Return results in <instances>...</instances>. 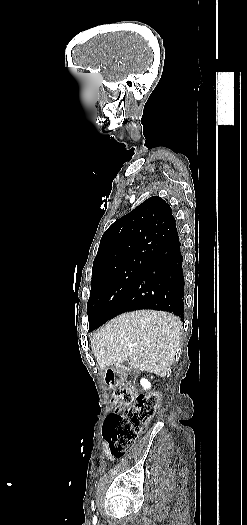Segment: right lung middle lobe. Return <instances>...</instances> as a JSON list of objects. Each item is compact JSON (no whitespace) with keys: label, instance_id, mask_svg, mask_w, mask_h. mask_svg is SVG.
I'll list each match as a JSON object with an SVG mask.
<instances>
[{"label":"right lung middle lobe","instance_id":"dd1d6c3e","mask_svg":"<svg viewBox=\"0 0 247 525\" xmlns=\"http://www.w3.org/2000/svg\"><path fill=\"white\" fill-rule=\"evenodd\" d=\"M147 257L132 265L111 271L92 273L90 298L87 303L89 329L99 327L112 317L147 264Z\"/></svg>","mask_w":247,"mask_h":525}]
</instances>
